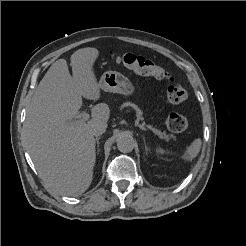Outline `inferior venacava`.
<instances>
[{
    "label": "inferior vena cava",
    "mask_w": 246,
    "mask_h": 246,
    "mask_svg": "<svg viewBox=\"0 0 246 246\" xmlns=\"http://www.w3.org/2000/svg\"><path fill=\"white\" fill-rule=\"evenodd\" d=\"M107 125L104 123H98L94 125L91 129V134L93 136H100L106 131Z\"/></svg>",
    "instance_id": "1"
}]
</instances>
